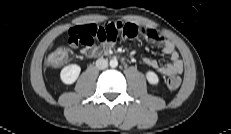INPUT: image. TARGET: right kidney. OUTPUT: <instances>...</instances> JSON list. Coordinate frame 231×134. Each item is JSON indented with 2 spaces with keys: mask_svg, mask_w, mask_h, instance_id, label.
I'll list each match as a JSON object with an SVG mask.
<instances>
[{
  "mask_svg": "<svg viewBox=\"0 0 231 134\" xmlns=\"http://www.w3.org/2000/svg\"><path fill=\"white\" fill-rule=\"evenodd\" d=\"M81 68L79 65L71 64L68 66H65L60 74L61 80L65 84H72L74 83L79 74H80Z\"/></svg>",
  "mask_w": 231,
  "mask_h": 134,
  "instance_id": "right-kidney-1",
  "label": "right kidney"
}]
</instances>
